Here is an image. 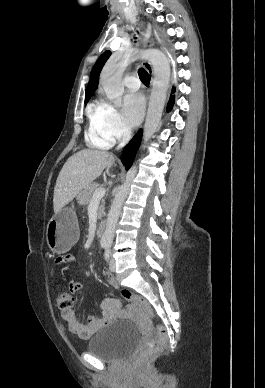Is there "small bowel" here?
<instances>
[{
  "mask_svg": "<svg viewBox=\"0 0 265 388\" xmlns=\"http://www.w3.org/2000/svg\"><path fill=\"white\" fill-rule=\"evenodd\" d=\"M75 261L74 257H66L60 261V264H69ZM106 283L113 288L118 286L115 277L108 273H104ZM69 290L73 293L82 290V284L75 280L69 281ZM103 309L107 310L102 315H92L86 323L81 321L80 316L73 309H65L61 312L62 319L66 322L70 332L80 338L88 339L92 337L100 328L111 323L121 315V311L116 307V302L112 299H104L101 303Z\"/></svg>",
  "mask_w": 265,
  "mask_h": 388,
  "instance_id": "1",
  "label": "small bowel"
}]
</instances>
